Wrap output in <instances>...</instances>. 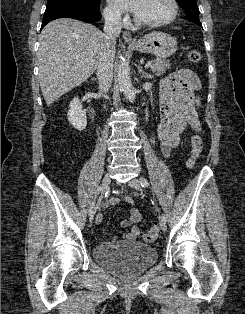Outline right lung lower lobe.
<instances>
[{"mask_svg":"<svg viewBox=\"0 0 245 314\" xmlns=\"http://www.w3.org/2000/svg\"><path fill=\"white\" fill-rule=\"evenodd\" d=\"M58 18H74L87 23L97 22L101 19L99 8H90L74 4H56L47 6L41 29L50 21Z\"/></svg>","mask_w":245,"mask_h":314,"instance_id":"right-lung-lower-lobe-1","label":"right lung lower lobe"}]
</instances>
